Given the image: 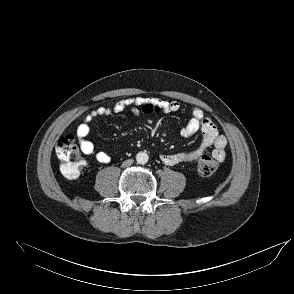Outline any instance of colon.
Returning a JSON list of instances; mask_svg holds the SVG:
<instances>
[{
	"label": "colon",
	"instance_id": "5ec220e1",
	"mask_svg": "<svg viewBox=\"0 0 294 294\" xmlns=\"http://www.w3.org/2000/svg\"><path fill=\"white\" fill-rule=\"evenodd\" d=\"M141 111L145 114L161 112L160 109L149 103L144 104L141 108ZM56 155L61 161V173L66 178L75 179L80 175L85 161L81 157L80 148L74 136L65 135L58 141L56 145ZM217 169V160L210 156H204L198 164V172L203 177H209L213 175Z\"/></svg>",
	"mask_w": 294,
	"mask_h": 294
}]
</instances>
